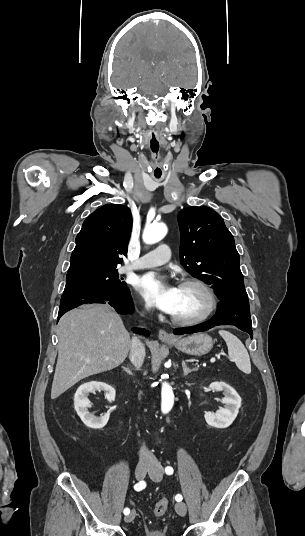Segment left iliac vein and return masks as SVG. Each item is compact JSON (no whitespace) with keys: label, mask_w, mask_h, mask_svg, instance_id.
<instances>
[{"label":"left iliac vein","mask_w":305,"mask_h":536,"mask_svg":"<svg viewBox=\"0 0 305 536\" xmlns=\"http://www.w3.org/2000/svg\"><path fill=\"white\" fill-rule=\"evenodd\" d=\"M163 468L161 466H157V467H153V468H150L149 470V476L155 480V481H159L162 479V476H163ZM175 510L176 512L181 515V516H184L187 512V507H186V504L183 503V502H178L175 504Z\"/></svg>","instance_id":"obj_1"}]
</instances>
